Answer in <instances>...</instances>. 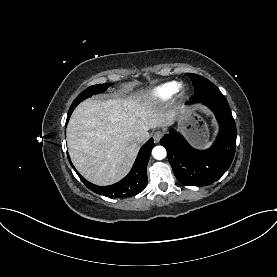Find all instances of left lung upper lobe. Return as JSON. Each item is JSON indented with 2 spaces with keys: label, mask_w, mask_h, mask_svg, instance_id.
<instances>
[{
  "label": "left lung upper lobe",
  "mask_w": 277,
  "mask_h": 277,
  "mask_svg": "<svg viewBox=\"0 0 277 277\" xmlns=\"http://www.w3.org/2000/svg\"><path fill=\"white\" fill-rule=\"evenodd\" d=\"M187 75L191 78L193 82V86L195 88L194 93L200 94L207 91H217L219 90L212 82L208 79L193 73H187Z\"/></svg>",
  "instance_id": "1"
}]
</instances>
